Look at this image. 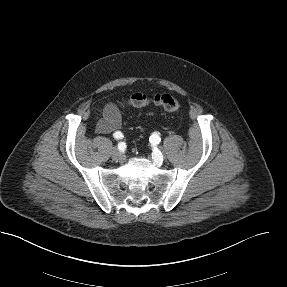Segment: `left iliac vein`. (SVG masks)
<instances>
[{"instance_id":"1","label":"left iliac vein","mask_w":287,"mask_h":287,"mask_svg":"<svg viewBox=\"0 0 287 287\" xmlns=\"http://www.w3.org/2000/svg\"><path fill=\"white\" fill-rule=\"evenodd\" d=\"M164 160V156L161 153H157L154 157V162L156 165H161Z\"/></svg>"}]
</instances>
